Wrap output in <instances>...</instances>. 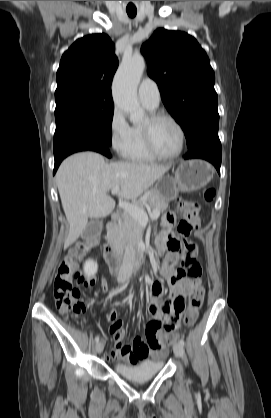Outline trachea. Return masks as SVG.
I'll return each instance as SVG.
<instances>
[{
	"instance_id": "1",
	"label": "trachea",
	"mask_w": 271,
	"mask_h": 418,
	"mask_svg": "<svg viewBox=\"0 0 271 418\" xmlns=\"http://www.w3.org/2000/svg\"><path fill=\"white\" fill-rule=\"evenodd\" d=\"M129 17L134 18L136 16L137 10L136 9H127L126 10Z\"/></svg>"
}]
</instances>
